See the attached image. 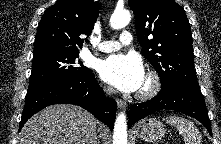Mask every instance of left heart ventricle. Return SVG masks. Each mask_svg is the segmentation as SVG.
<instances>
[{
  "mask_svg": "<svg viewBox=\"0 0 221 144\" xmlns=\"http://www.w3.org/2000/svg\"><path fill=\"white\" fill-rule=\"evenodd\" d=\"M144 85H145V81H144V83H143L142 87H143ZM142 87H141V88H142Z\"/></svg>",
  "mask_w": 221,
  "mask_h": 144,
  "instance_id": "obj_1",
  "label": "left heart ventricle"
}]
</instances>
